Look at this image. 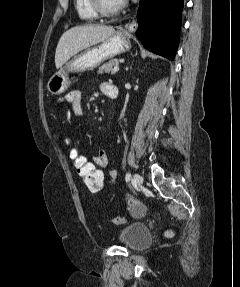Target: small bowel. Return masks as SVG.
<instances>
[{"mask_svg":"<svg viewBox=\"0 0 240 287\" xmlns=\"http://www.w3.org/2000/svg\"><path fill=\"white\" fill-rule=\"evenodd\" d=\"M112 86L113 85H111L110 83H102L100 89L104 95L108 96V93ZM59 102L70 104L74 116L79 120L82 118L83 109H82V96L80 91L78 90L69 91L64 97L59 99ZM92 161L96 164V166L99 169H106L109 166V159L105 151L102 149L98 152V154L92 157ZM116 177H117V170L111 169L109 172V176L107 178V183L108 184L113 183ZM125 200L129 211L133 215H138L139 212L142 214L145 212L146 210L145 205L141 201L137 200L134 196L127 194L125 196Z\"/></svg>","mask_w":240,"mask_h":287,"instance_id":"obj_1","label":"small bowel"}]
</instances>
